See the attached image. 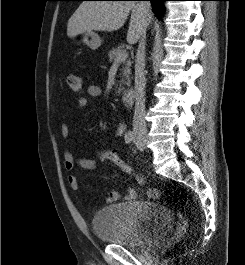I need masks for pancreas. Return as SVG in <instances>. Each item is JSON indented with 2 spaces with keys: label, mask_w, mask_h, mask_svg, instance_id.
Here are the masks:
<instances>
[{
  "label": "pancreas",
  "mask_w": 245,
  "mask_h": 265,
  "mask_svg": "<svg viewBox=\"0 0 245 265\" xmlns=\"http://www.w3.org/2000/svg\"><path fill=\"white\" fill-rule=\"evenodd\" d=\"M125 50L118 47V48H113L112 50L109 51L108 56H109V61L110 62H115L116 58L118 57V55L120 53H123ZM121 63L123 65H125V67H123L121 75H122V79L119 82V88H118V93H120L124 87L122 85H130V74H131V61L130 60H123L121 61Z\"/></svg>",
  "instance_id": "pancreas-1"
}]
</instances>
